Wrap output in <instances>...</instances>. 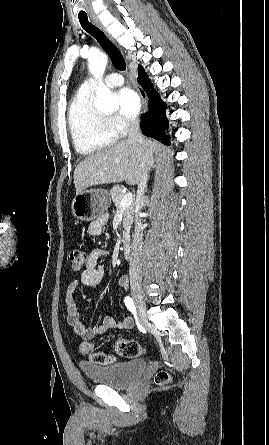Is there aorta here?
<instances>
[{"mask_svg":"<svg viewBox=\"0 0 269 445\" xmlns=\"http://www.w3.org/2000/svg\"><path fill=\"white\" fill-rule=\"evenodd\" d=\"M107 63L108 58L103 53L92 54L88 59L89 71L98 81L94 106L102 112H113L118 109L119 102L102 81Z\"/></svg>","mask_w":269,"mask_h":445,"instance_id":"762f6f07","label":"aorta"}]
</instances>
